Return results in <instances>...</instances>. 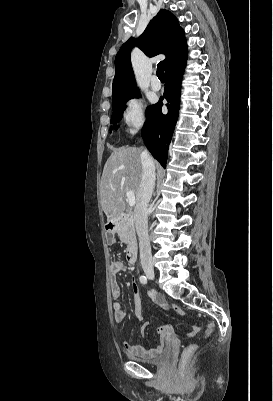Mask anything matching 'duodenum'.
Returning a JSON list of instances; mask_svg holds the SVG:
<instances>
[{
  "label": "duodenum",
  "instance_id": "1",
  "mask_svg": "<svg viewBox=\"0 0 273 401\" xmlns=\"http://www.w3.org/2000/svg\"><path fill=\"white\" fill-rule=\"evenodd\" d=\"M132 222H133V214L127 212L119 215L115 220L111 221L106 228L109 233H113L119 228L121 224L123 223L131 224ZM137 257H138L137 242L131 239L128 242L127 261L130 264H134L137 261Z\"/></svg>",
  "mask_w": 273,
  "mask_h": 401
}]
</instances>
